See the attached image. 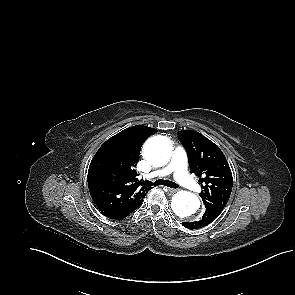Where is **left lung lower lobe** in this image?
<instances>
[{"instance_id": "0a47b994", "label": "left lung lower lobe", "mask_w": 295, "mask_h": 295, "mask_svg": "<svg viewBox=\"0 0 295 295\" xmlns=\"http://www.w3.org/2000/svg\"><path fill=\"white\" fill-rule=\"evenodd\" d=\"M221 211L222 209L220 208L208 207L206 208V211L202 216V219L195 222H182V225L188 229L202 228L213 222L219 216Z\"/></svg>"}]
</instances>
